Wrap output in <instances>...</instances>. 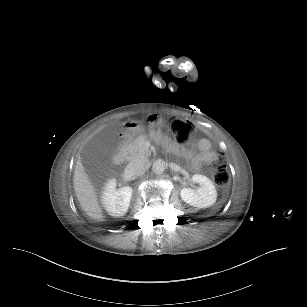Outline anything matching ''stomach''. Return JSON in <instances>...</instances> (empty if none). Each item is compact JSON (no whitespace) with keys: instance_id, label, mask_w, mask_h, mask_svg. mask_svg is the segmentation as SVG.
<instances>
[{"instance_id":"obj_1","label":"stomach","mask_w":307,"mask_h":307,"mask_svg":"<svg viewBox=\"0 0 307 307\" xmlns=\"http://www.w3.org/2000/svg\"><path fill=\"white\" fill-rule=\"evenodd\" d=\"M160 124H161V122L157 118L156 119H150L148 121L149 127H155V126H158ZM131 125H132L131 129L136 133L142 132L145 129V124L142 121H133L131 123Z\"/></svg>"}]
</instances>
